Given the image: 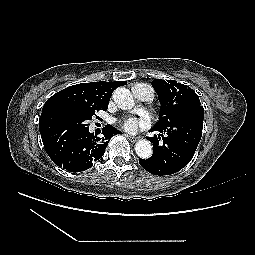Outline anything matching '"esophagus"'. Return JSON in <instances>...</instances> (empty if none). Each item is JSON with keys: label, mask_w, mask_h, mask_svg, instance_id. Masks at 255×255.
Returning <instances> with one entry per match:
<instances>
[{"label": "esophagus", "mask_w": 255, "mask_h": 255, "mask_svg": "<svg viewBox=\"0 0 255 255\" xmlns=\"http://www.w3.org/2000/svg\"><path fill=\"white\" fill-rule=\"evenodd\" d=\"M125 136L128 137L129 140H130L131 142H135V141H137V139H138L137 137L132 136V135H130V134H125Z\"/></svg>", "instance_id": "obj_1"}]
</instances>
